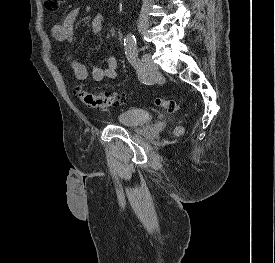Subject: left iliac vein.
I'll list each match as a JSON object with an SVG mask.
<instances>
[{
  "label": "left iliac vein",
  "instance_id": "4c4485c4",
  "mask_svg": "<svg viewBox=\"0 0 275 263\" xmlns=\"http://www.w3.org/2000/svg\"><path fill=\"white\" fill-rule=\"evenodd\" d=\"M158 67L153 62L149 53H144L141 57L140 70L144 75L152 76L156 73Z\"/></svg>",
  "mask_w": 275,
  "mask_h": 263
}]
</instances>
